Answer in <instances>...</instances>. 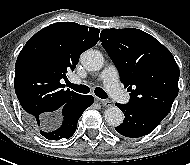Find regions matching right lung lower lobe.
Instances as JSON below:
<instances>
[{"mask_svg":"<svg viewBox=\"0 0 190 165\" xmlns=\"http://www.w3.org/2000/svg\"><path fill=\"white\" fill-rule=\"evenodd\" d=\"M93 101L92 95H81L45 120L36 121L28 115H25V118L35 131L49 140L68 139L75 133L78 119Z\"/></svg>","mask_w":190,"mask_h":165,"instance_id":"right-lung-lower-lobe-1","label":"right lung lower lobe"}]
</instances>
